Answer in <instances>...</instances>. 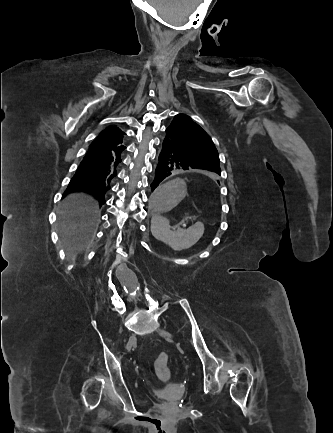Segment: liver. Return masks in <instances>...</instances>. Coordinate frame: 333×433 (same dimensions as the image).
<instances>
[{"instance_id": "obj_1", "label": "liver", "mask_w": 333, "mask_h": 433, "mask_svg": "<svg viewBox=\"0 0 333 433\" xmlns=\"http://www.w3.org/2000/svg\"><path fill=\"white\" fill-rule=\"evenodd\" d=\"M99 216L98 201L87 194L73 193L64 199L58 216V231L71 260L93 239Z\"/></svg>"}]
</instances>
